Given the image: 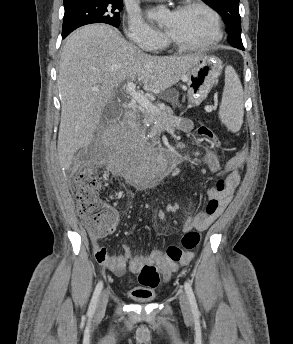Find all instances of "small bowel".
<instances>
[{"label":"small bowel","mask_w":293,"mask_h":344,"mask_svg":"<svg viewBox=\"0 0 293 344\" xmlns=\"http://www.w3.org/2000/svg\"><path fill=\"white\" fill-rule=\"evenodd\" d=\"M178 126L180 130L185 132L192 129V123L187 118H181ZM195 155L211 173L224 172L226 174V188L224 192H218L214 189H209L206 192L209 200L216 199L218 201L219 206L217 211L211 215L207 212L200 211L194 216L188 217L183 223L184 231L192 229L205 231L225 211L240 184L241 178L239 170L243 167L246 159L244 153H239L229 159L224 165H221L215 153L209 149L197 151ZM91 245L96 261L117 277H122L127 270L138 273L144 266L151 264L161 265L165 276L169 277L172 272L190 264L194 257L193 252H187L179 262L173 263L163 259L162 253L158 249L151 250L150 254L147 256L134 255L130 246L127 244L121 245V254L109 255L106 248L100 244L99 237H92ZM131 295L134 298H140L150 296L151 293L150 290L145 287H137L131 290Z\"/></svg>","instance_id":"small-bowel-1"}]
</instances>
